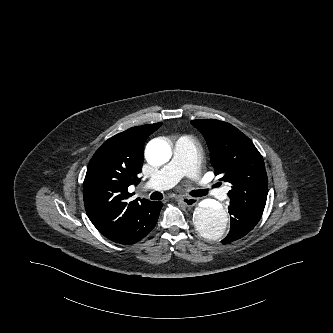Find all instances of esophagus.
<instances>
[{
    "label": "esophagus",
    "mask_w": 333,
    "mask_h": 333,
    "mask_svg": "<svg viewBox=\"0 0 333 333\" xmlns=\"http://www.w3.org/2000/svg\"><path fill=\"white\" fill-rule=\"evenodd\" d=\"M179 201L187 207H193L194 205H196L198 203V200L196 198L188 197V196H181L179 198Z\"/></svg>",
    "instance_id": "esophagus-1"
}]
</instances>
